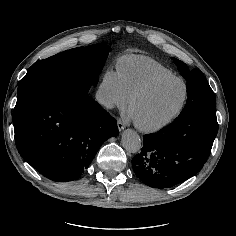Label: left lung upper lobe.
<instances>
[{
    "label": "left lung upper lobe",
    "instance_id": "5c2ea615",
    "mask_svg": "<svg viewBox=\"0 0 236 236\" xmlns=\"http://www.w3.org/2000/svg\"><path fill=\"white\" fill-rule=\"evenodd\" d=\"M181 75L187 80V102L182 112L203 108L216 110V99L213 90L200 70L189 71L187 65L182 61L172 58Z\"/></svg>",
    "mask_w": 236,
    "mask_h": 236
}]
</instances>
